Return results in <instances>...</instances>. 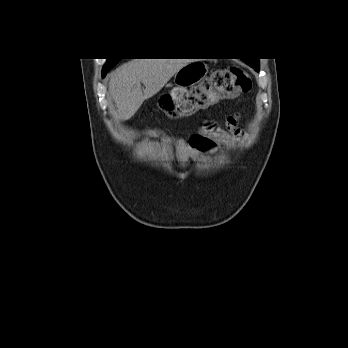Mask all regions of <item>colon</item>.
Listing matches in <instances>:
<instances>
[{
    "label": "colon",
    "instance_id": "5ec220e1",
    "mask_svg": "<svg viewBox=\"0 0 348 348\" xmlns=\"http://www.w3.org/2000/svg\"><path fill=\"white\" fill-rule=\"evenodd\" d=\"M252 88V78L240 66L232 65L216 70L204 84L210 99L223 100L248 93ZM197 106L193 93L187 90H177L163 95L159 100L160 110L168 117L185 115Z\"/></svg>",
    "mask_w": 348,
    "mask_h": 348
}]
</instances>
